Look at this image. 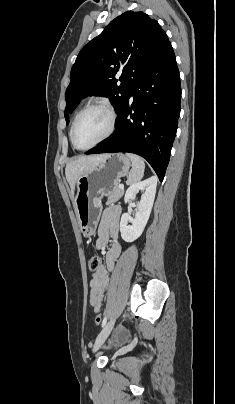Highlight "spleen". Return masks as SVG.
Wrapping results in <instances>:
<instances>
[{
    "instance_id": "3e777b00",
    "label": "spleen",
    "mask_w": 235,
    "mask_h": 404,
    "mask_svg": "<svg viewBox=\"0 0 235 404\" xmlns=\"http://www.w3.org/2000/svg\"><path fill=\"white\" fill-rule=\"evenodd\" d=\"M126 155L132 162V169L129 172L127 180V183L131 185L142 179L145 170V163L143 159L136 154L127 153Z\"/></svg>"
}]
</instances>
